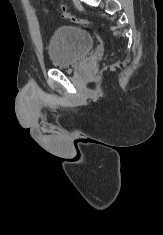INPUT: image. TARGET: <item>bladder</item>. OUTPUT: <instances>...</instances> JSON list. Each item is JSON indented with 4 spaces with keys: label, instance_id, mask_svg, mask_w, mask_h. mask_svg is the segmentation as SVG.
<instances>
[{
    "label": "bladder",
    "instance_id": "bladder-1",
    "mask_svg": "<svg viewBox=\"0 0 163 235\" xmlns=\"http://www.w3.org/2000/svg\"><path fill=\"white\" fill-rule=\"evenodd\" d=\"M95 47L92 33L80 26L58 27L51 36L48 53L57 67H68L88 55Z\"/></svg>",
    "mask_w": 163,
    "mask_h": 235
}]
</instances>
